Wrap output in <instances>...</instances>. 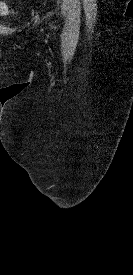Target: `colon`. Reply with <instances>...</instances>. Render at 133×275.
I'll return each mask as SVG.
<instances>
[{
  "mask_svg": "<svg viewBox=\"0 0 133 275\" xmlns=\"http://www.w3.org/2000/svg\"><path fill=\"white\" fill-rule=\"evenodd\" d=\"M10 11L11 8L3 1H0V16L8 15Z\"/></svg>",
  "mask_w": 133,
  "mask_h": 275,
  "instance_id": "1",
  "label": "colon"
}]
</instances>
